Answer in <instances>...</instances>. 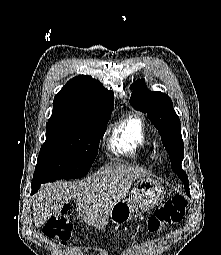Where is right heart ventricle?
<instances>
[{"label": "right heart ventricle", "mask_w": 221, "mask_h": 255, "mask_svg": "<svg viewBox=\"0 0 221 255\" xmlns=\"http://www.w3.org/2000/svg\"><path fill=\"white\" fill-rule=\"evenodd\" d=\"M150 148L146 123L138 115L129 114L119 119L108 137V149L115 155L143 158Z\"/></svg>", "instance_id": "right-heart-ventricle-1"}]
</instances>
